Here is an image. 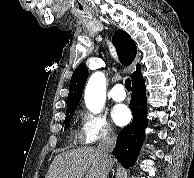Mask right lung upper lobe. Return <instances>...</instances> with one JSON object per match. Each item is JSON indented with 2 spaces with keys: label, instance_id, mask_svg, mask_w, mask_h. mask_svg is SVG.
<instances>
[{
  "label": "right lung upper lobe",
  "instance_id": "cb5924a9",
  "mask_svg": "<svg viewBox=\"0 0 194 178\" xmlns=\"http://www.w3.org/2000/svg\"><path fill=\"white\" fill-rule=\"evenodd\" d=\"M113 43L118 51L121 63L126 66L130 65L137 53L135 42L125 31L117 30L113 36ZM136 68L137 71L131 75L132 82L142 77L139 65ZM87 78L88 70L85 64L82 63L76 68L70 81L67 112L75 111L77 108Z\"/></svg>",
  "mask_w": 194,
  "mask_h": 178
}]
</instances>
